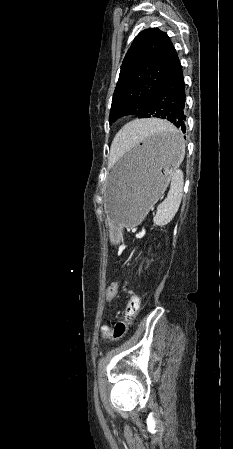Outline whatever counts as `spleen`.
Returning <instances> with one entry per match:
<instances>
[{"mask_svg": "<svg viewBox=\"0 0 233 449\" xmlns=\"http://www.w3.org/2000/svg\"><path fill=\"white\" fill-rule=\"evenodd\" d=\"M177 133V137L180 139L182 153L184 154L185 145L181 135L168 125H145L144 131H138V134H131V138L128 142H123L117 150L116 156H120L129 151L135 143L141 139L143 142H150L154 133ZM183 173L180 169H176L173 172L170 190L165 200L158 205V212L153 218V222L157 226L167 225L177 213L183 195Z\"/></svg>", "mask_w": 233, "mask_h": 449, "instance_id": "spleen-1", "label": "spleen"}]
</instances>
